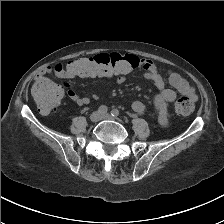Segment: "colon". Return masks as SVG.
Here are the masks:
<instances>
[{"mask_svg": "<svg viewBox=\"0 0 224 224\" xmlns=\"http://www.w3.org/2000/svg\"><path fill=\"white\" fill-rule=\"evenodd\" d=\"M68 66L76 77H110L128 74L139 66V58L129 54L101 53L91 57H81L71 61ZM32 96L38 109L45 114L55 111L61 101V88L47 80L36 81L32 87ZM195 109L194 102L186 96L175 103V111L180 116H189Z\"/></svg>", "mask_w": 224, "mask_h": 224, "instance_id": "colon-1", "label": "colon"}]
</instances>
